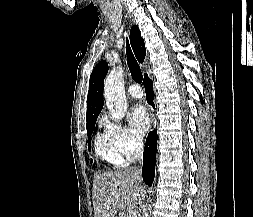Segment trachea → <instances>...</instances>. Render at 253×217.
Masks as SVG:
<instances>
[{"mask_svg": "<svg viewBox=\"0 0 253 217\" xmlns=\"http://www.w3.org/2000/svg\"><path fill=\"white\" fill-rule=\"evenodd\" d=\"M126 55H127V62L129 66V70L131 72L132 78L136 81L141 83L143 80L142 72L140 70L139 64L137 63L132 50L129 46L128 41H126Z\"/></svg>", "mask_w": 253, "mask_h": 217, "instance_id": "trachea-1", "label": "trachea"}]
</instances>
